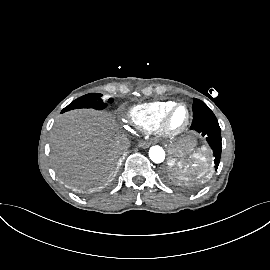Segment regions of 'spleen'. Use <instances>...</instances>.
Segmentation results:
<instances>
[{
  "mask_svg": "<svg viewBox=\"0 0 270 270\" xmlns=\"http://www.w3.org/2000/svg\"><path fill=\"white\" fill-rule=\"evenodd\" d=\"M206 151H207L206 148H202L200 152L194 154V156H193V158L195 159L194 162L187 163V162L183 161L182 164L185 166V168L188 171L195 172L198 169V166L200 164H203L207 161V158L205 155ZM203 174H204V172H198V176H202Z\"/></svg>",
  "mask_w": 270,
  "mask_h": 270,
  "instance_id": "spleen-1",
  "label": "spleen"
}]
</instances>
